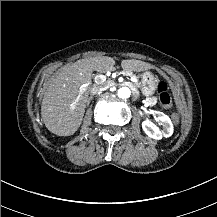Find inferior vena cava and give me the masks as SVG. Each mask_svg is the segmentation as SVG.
<instances>
[{
	"label": "inferior vena cava",
	"mask_w": 217,
	"mask_h": 217,
	"mask_svg": "<svg viewBox=\"0 0 217 217\" xmlns=\"http://www.w3.org/2000/svg\"><path fill=\"white\" fill-rule=\"evenodd\" d=\"M102 90H106V86H100V85L95 84L91 88L90 92H91L92 95H94L95 93H98L99 91H102Z\"/></svg>",
	"instance_id": "1"
}]
</instances>
